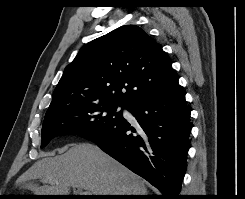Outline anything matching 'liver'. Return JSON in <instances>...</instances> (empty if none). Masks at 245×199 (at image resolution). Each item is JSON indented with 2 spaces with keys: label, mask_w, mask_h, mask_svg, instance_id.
I'll list each match as a JSON object with an SVG mask.
<instances>
[{
  "label": "liver",
  "mask_w": 245,
  "mask_h": 199,
  "mask_svg": "<svg viewBox=\"0 0 245 199\" xmlns=\"http://www.w3.org/2000/svg\"><path fill=\"white\" fill-rule=\"evenodd\" d=\"M42 179L49 185L26 182ZM35 195H68L70 188L85 189L92 195H146L139 176L90 143L74 144L60 156L38 160L16 181Z\"/></svg>",
  "instance_id": "1"
}]
</instances>
